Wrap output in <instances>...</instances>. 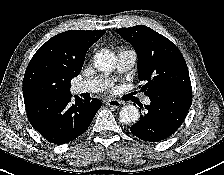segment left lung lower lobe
I'll return each mask as SVG.
<instances>
[{
  "label": "left lung lower lobe",
  "mask_w": 224,
  "mask_h": 175,
  "mask_svg": "<svg viewBox=\"0 0 224 175\" xmlns=\"http://www.w3.org/2000/svg\"><path fill=\"white\" fill-rule=\"evenodd\" d=\"M146 113L130 129L139 139L159 142L174 134L182 125L191 107L192 98L175 96L150 97Z\"/></svg>",
  "instance_id": "1"
}]
</instances>
